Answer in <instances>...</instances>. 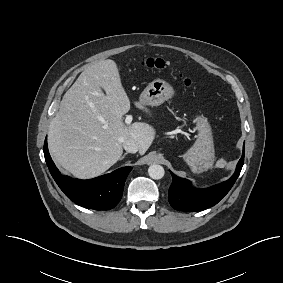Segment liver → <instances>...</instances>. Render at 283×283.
<instances>
[{
  "mask_svg": "<svg viewBox=\"0 0 283 283\" xmlns=\"http://www.w3.org/2000/svg\"><path fill=\"white\" fill-rule=\"evenodd\" d=\"M134 105L151 115L142 103ZM129 110L116 62L107 59L88 67L64 94L50 123L48 146L54 161L75 177L89 179L120 160L124 139H133L143 155L156 132L144 122L125 125L122 118Z\"/></svg>",
  "mask_w": 283,
  "mask_h": 283,
  "instance_id": "1",
  "label": "liver"
}]
</instances>
